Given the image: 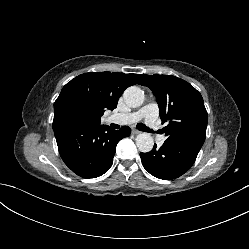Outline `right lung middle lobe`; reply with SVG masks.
<instances>
[{
    "label": "right lung middle lobe",
    "mask_w": 249,
    "mask_h": 249,
    "mask_svg": "<svg viewBox=\"0 0 249 249\" xmlns=\"http://www.w3.org/2000/svg\"><path fill=\"white\" fill-rule=\"evenodd\" d=\"M87 110L78 100H66L61 103L56 111L55 118L59 122L83 125L86 121Z\"/></svg>",
    "instance_id": "dd1d6c3e"
}]
</instances>
